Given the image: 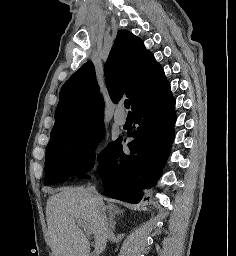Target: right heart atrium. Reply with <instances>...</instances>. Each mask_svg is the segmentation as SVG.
<instances>
[{"label":"right heart atrium","instance_id":"1","mask_svg":"<svg viewBox=\"0 0 236 256\" xmlns=\"http://www.w3.org/2000/svg\"><path fill=\"white\" fill-rule=\"evenodd\" d=\"M98 154H99L98 149H93L92 150V158H93V160H96L98 158Z\"/></svg>","mask_w":236,"mask_h":256}]
</instances>
